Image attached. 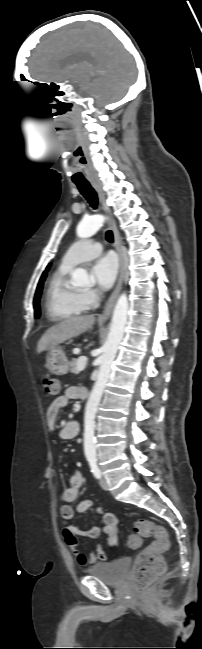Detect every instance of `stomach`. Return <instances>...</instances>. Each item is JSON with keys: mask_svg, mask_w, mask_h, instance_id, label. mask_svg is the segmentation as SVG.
<instances>
[{"mask_svg": "<svg viewBox=\"0 0 202 649\" xmlns=\"http://www.w3.org/2000/svg\"><path fill=\"white\" fill-rule=\"evenodd\" d=\"M46 366L48 370L55 375H65L69 369V362L61 347H53L49 350L46 357Z\"/></svg>", "mask_w": 202, "mask_h": 649, "instance_id": "1", "label": "stomach"}]
</instances>
